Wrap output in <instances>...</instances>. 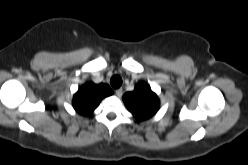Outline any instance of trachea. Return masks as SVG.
Returning a JSON list of instances; mask_svg holds the SVG:
<instances>
[{
	"instance_id": "obj_1",
	"label": "trachea",
	"mask_w": 248,
	"mask_h": 165,
	"mask_svg": "<svg viewBox=\"0 0 248 165\" xmlns=\"http://www.w3.org/2000/svg\"><path fill=\"white\" fill-rule=\"evenodd\" d=\"M110 83L113 88L117 89L122 85V78L119 75H114L110 79Z\"/></svg>"
}]
</instances>
